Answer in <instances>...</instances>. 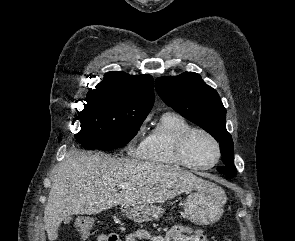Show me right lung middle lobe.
I'll list each match as a JSON object with an SVG mask.
<instances>
[{
    "mask_svg": "<svg viewBox=\"0 0 295 241\" xmlns=\"http://www.w3.org/2000/svg\"><path fill=\"white\" fill-rule=\"evenodd\" d=\"M85 101L78 112L81 130L75 138L89 150H113L127 144L149 113L101 93L88 94Z\"/></svg>",
    "mask_w": 295,
    "mask_h": 241,
    "instance_id": "obj_1",
    "label": "right lung middle lobe"
}]
</instances>
